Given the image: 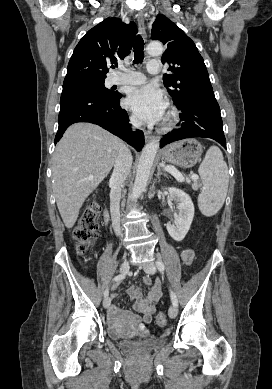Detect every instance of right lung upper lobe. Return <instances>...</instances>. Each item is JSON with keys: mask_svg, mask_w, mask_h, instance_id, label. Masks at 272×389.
Masks as SVG:
<instances>
[{"mask_svg": "<svg viewBox=\"0 0 272 389\" xmlns=\"http://www.w3.org/2000/svg\"><path fill=\"white\" fill-rule=\"evenodd\" d=\"M137 27L119 18H107L79 41L70 58L63 86L99 81L106 78L108 68L129 54Z\"/></svg>", "mask_w": 272, "mask_h": 389, "instance_id": "cb5924a9", "label": "right lung upper lobe"}]
</instances>
